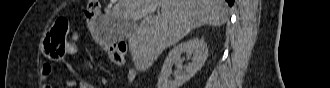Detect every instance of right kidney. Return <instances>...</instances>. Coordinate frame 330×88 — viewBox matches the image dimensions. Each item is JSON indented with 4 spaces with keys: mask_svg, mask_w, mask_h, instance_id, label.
<instances>
[{
    "mask_svg": "<svg viewBox=\"0 0 330 88\" xmlns=\"http://www.w3.org/2000/svg\"><path fill=\"white\" fill-rule=\"evenodd\" d=\"M183 53L192 55V61L188 66H183L181 60ZM207 57L208 48L203 39L193 38L175 46L164 61L157 88H180L203 67ZM173 64L178 69V72L174 74V80L170 79Z\"/></svg>",
    "mask_w": 330,
    "mask_h": 88,
    "instance_id": "ca27d5eb",
    "label": "right kidney"
}]
</instances>
